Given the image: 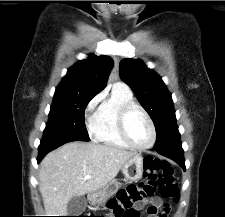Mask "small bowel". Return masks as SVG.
Returning <instances> with one entry per match:
<instances>
[{"label": "small bowel", "instance_id": "1", "mask_svg": "<svg viewBox=\"0 0 225 217\" xmlns=\"http://www.w3.org/2000/svg\"><path fill=\"white\" fill-rule=\"evenodd\" d=\"M164 204L161 203V201L157 198H154L152 199V206L154 207H161L163 206ZM142 207V202L141 201H138L136 202V205H135V209H140ZM150 217H156L155 215H149Z\"/></svg>", "mask_w": 225, "mask_h": 217}]
</instances>
